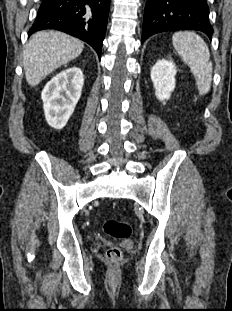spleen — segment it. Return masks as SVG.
Returning <instances> with one entry per match:
<instances>
[{
  "instance_id": "1",
  "label": "spleen",
  "mask_w": 232,
  "mask_h": 311,
  "mask_svg": "<svg viewBox=\"0 0 232 311\" xmlns=\"http://www.w3.org/2000/svg\"><path fill=\"white\" fill-rule=\"evenodd\" d=\"M173 46L190 66L201 95L209 92L212 81V63L209 48L204 40L194 32L180 31L172 37Z\"/></svg>"
}]
</instances>
